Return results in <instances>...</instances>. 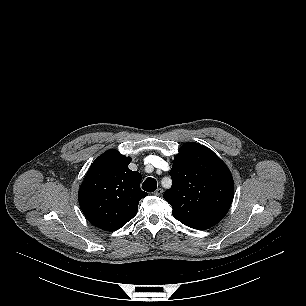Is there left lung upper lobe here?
<instances>
[{"mask_svg": "<svg viewBox=\"0 0 306 306\" xmlns=\"http://www.w3.org/2000/svg\"><path fill=\"white\" fill-rule=\"evenodd\" d=\"M172 187L164 199L173 207L172 214L194 229H208L228 212L234 182L226 165L209 148L199 143H186L170 170Z\"/></svg>", "mask_w": 306, "mask_h": 306, "instance_id": "obj_1", "label": "left lung upper lobe"}]
</instances>
